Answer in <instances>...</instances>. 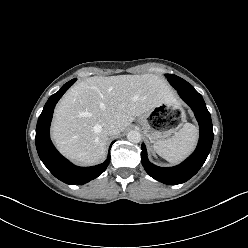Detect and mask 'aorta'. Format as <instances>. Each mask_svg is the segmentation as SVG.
<instances>
[{
  "mask_svg": "<svg viewBox=\"0 0 248 248\" xmlns=\"http://www.w3.org/2000/svg\"><path fill=\"white\" fill-rule=\"evenodd\" d=\"M127 139L132 143H139L141 141V134L139 131L132 130L127 134Z\"/></svg>",
  "mask_w": 248,
  "mask_h": 248,
  "instance_id": "762f6f07",
  "label": "aorta"
}]
</instances>
